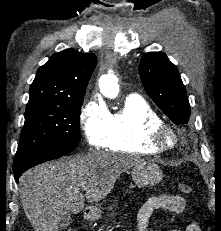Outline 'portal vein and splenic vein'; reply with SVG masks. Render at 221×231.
<instances>
[{
    "instance_id": "1",
    "label": "portal vein and splenic vein",
    "mask_w": 221,
    "mask_h": 231,
    "mask_svg": "<svg viewBox=\"0 0 221 231\" xmlns=\"http://www.w3.org/2000/svg\"><path fill=\"white\" fill-rule=\"evenodd\" d=\"M81 188H82L83 190H85V189H86V186H82Z\"/></svg>"
}]
</instances>
